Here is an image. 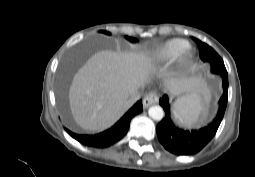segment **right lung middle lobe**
Here are the masks:
<instances>
[{
    "label": "right lung middle lobe",
    "mask_w": 255,
    "mask_h": 177,
    "mask_svg": "<svg viewBox=\"0 0 255 177\" xmlns=\"http://www.w3.org/2000/svg\"><path fill=\"white\" fill-rule=\"evenodd\" d=\"M100 32H102V33H104V34H110L109 32H107V31H100ZM127 39L129 40V41H131V42H136L137 40L136 39H134V38H130V37H127ZM64 88L62 87V89L60 90V100H61V103L64 105Z\"/></svg>",
    "instance_id": "right-lung-middle-lobe-1"
}]
</instances>
